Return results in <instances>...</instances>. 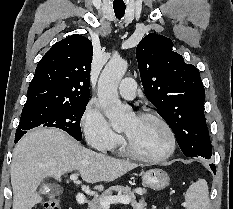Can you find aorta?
I'll return each mask as SVG.
<instances>
[{"instance_id": "762f6f07", "label": "aorta", "mask_w": 233, "mask_h": 209, "mask_svg": "<svg viewBox=\"0 0 233 209\" xmlns=\"http://www.w3.org/2000/svg\"><path fill=\"white\" fill-rule=\"evenodd\" d=\"M127 67L125 60L113 58L107 63L98 80V100L116 131L122 130L132 117L131 108L123 105L118 96V85Z\"/></svg>"}]
</instances>
